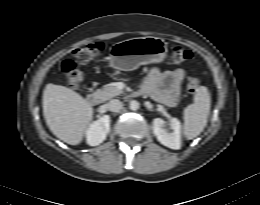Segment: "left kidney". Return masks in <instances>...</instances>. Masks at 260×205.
<instances>
[{"mask_svg": "<svg viewBox=\"0 0 260 205\" xmlns=\"http://www.w3.org/2000/svg\"><path fill=\"white\" fill-rule=\"evenodd\" d=\"M165 121L161 118L153 120V132L157 140L164 146L178 150L181 148V123L178 119L172 118L170 121V129L168 132L165 127Z\"/></svg>", "mask_w": 260, "mask_h": 205, "instance_id": "left-kidney-1", "label": "left kidney"}]
</instances>
